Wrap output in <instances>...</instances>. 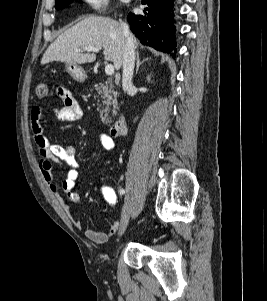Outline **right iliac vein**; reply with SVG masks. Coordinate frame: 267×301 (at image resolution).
<instances>
[{"instance_id":"obj_1","label":"right iliac vein","mask_w":267,"mask_h":301,"mask_svg":"<svg viewBox=\"0 0 267 301\" xmlns=\"http://www.w3.org/2000/svg\"><path fill=\"white\" fill-rule=\"evenodd\" d=\"M130 218V210L127 204L124 205L120 226H119V235L122 236L127 229Z\"/></svg>"}]
</instances>
